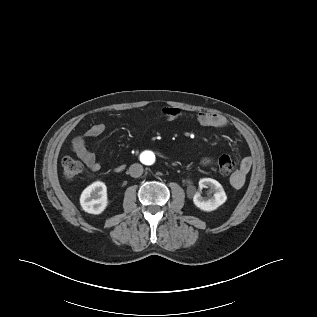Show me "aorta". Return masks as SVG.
<instances>
[{"mask_svg": "<svg viewBox=\"0 0 317 317\" xmlns=\"http://www.w3.org/2000/svg\"><path fill=\"white\" fill-rule=\"evenodd\" d=\"M141 161L147 165V166H151L155 163L156 161V156L153 152L151 151H147L142 153L141 155Z\"/></svg>", "mask_w": 317, "mask_h": 317, "instance_id": "762f6f07", "label": "aorta"}]
</instances>
